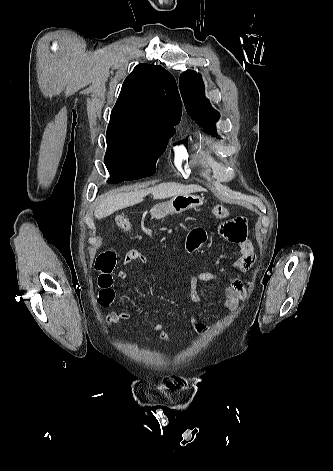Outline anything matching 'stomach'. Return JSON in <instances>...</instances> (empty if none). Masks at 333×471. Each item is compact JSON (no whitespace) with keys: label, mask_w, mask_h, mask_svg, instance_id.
<instances>
[{"label":"stomach","mask_w":333,"mask_h":471,"mask_svg":"<svg viewBox=\"0 0 333 471\" xmlns=\"http://www.w3.org/2000/svg\"><path fill=\"white\" fill-rule=\"evenodd\" d=\"M203 203L204 199L198 195H176L168 202L153 206L150 210V214L154 219H161L170 214H180L186 210L200 207Z\"/></svg>","instance_id":"1"}]
</instances>
